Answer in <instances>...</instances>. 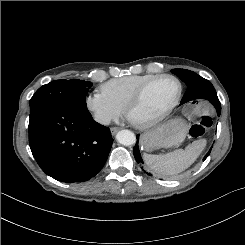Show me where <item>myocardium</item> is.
<instances>
[{"label":"myocardium","mask_w":245,"mask_h":245,"mask_svg":"<svg viewBox=\"0 0 245 245\" xmlns=\"http://www.w3.org/2000/svg\"><path fill=\"white\" fill-rule=\"evenodd\" d=\"M163 79H171V80L176 81L178 84V93H177L175 99L173 100V102L171 103V105L163 113H161L160 115H158L152 119H149V120L143 121V122L134 121L131 118V113L140 104V102L142 101V98H143L145 92L147 91V89L152 84H154L155 82L163 80ZM182 92H183V84L178 77L171 75V74L158 75V76L148 80L147 82H145L135 92V94L132 96V98L129 100V102L126 105V108H125L126 116L129 119V121L138 128H141V129L151 128V127L159 124L163 120H165L173 112V110L179 104V101H180L181 96H182Z\"/></svg>","instance_id":"obj_1"}]
</instances>
